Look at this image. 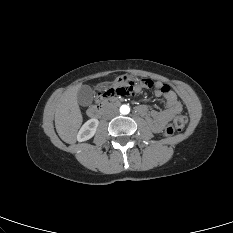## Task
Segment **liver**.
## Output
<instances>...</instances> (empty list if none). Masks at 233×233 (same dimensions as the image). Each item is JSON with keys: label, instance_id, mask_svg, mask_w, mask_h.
I'll list each match as a JSON object with an SVG mask.
<instances>
[{"label": "liver", "instance_id": "1", "mask_svg": "<svg viewBox=\"0 0 233 233\" xmlns=\"http://www.w3.org/2000/svg\"><path fill=\"white\" fill-rule=\"evenodd\" d=\"M80 85L66 90L55 110V127L59 137L66 143H73L83 118L79 108L77 93Z\"/></svg>", "mask_w": 233, "mask_h": 233}]
</instances>
